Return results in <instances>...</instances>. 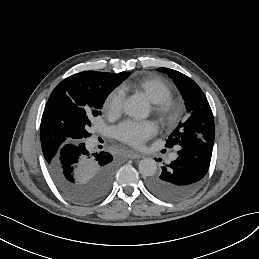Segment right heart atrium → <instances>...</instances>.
<instances>
[{"label":"right heart atrium","mask_w":259,"mask_h":259,"mask_svg":"<svg viewBox=\"0 0 259 259\" xmlns=\"http://www.w3.org/2000/svg\"><path fill=\"white\" fill-rule=\"evenodd\" d=\"M124 99L122 94L116 89L113 90L106 99V107L112 113H119L122 111Z\"/></svg>","instance_id":"d8ad5b80"}]
</instances>
